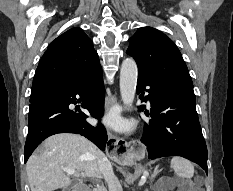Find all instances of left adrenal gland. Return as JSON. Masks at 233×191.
<instances>
[{
	"label": "left adrenal gland",
	"instance_id": "obj_1",
	"mask_svg": "<svg viewBox=\"0 0 233 191\" xmlns=\"http://www.w3.org/2000/svg\"><path fill=\"white\" fill-rule=\"evenodd\" d=\"M158 166L155 168V170H154V174L152 175V179H154V177H155V175L158 173Z\"/></svg>",
	"mask_w": 233,
	"mask_h": 191
}]
</instances>
